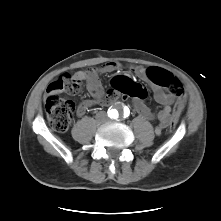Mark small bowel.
Wrapping results in <instances>:
<instances>
[{
	"label": "small bowel",
	"instance_id": "1",
	"mask_svg": "<svg viewBox=\"0 0 221 221\" xmlns=\"http://www.w3.org/2000/svg\"><path fill=\"white\" fill-rule=\"evenodd\" d=\"M121 65L117 62H108L102 67L94 68L87 71H78L73 75V81L75 83L85 82L87 90L91 95V99H86L82 101L77 108V114L79 116L84 115L89 108L95 104H109L113 102L119 93L124 96H128L124 92V88L134 82L128 75H118L115 76L111 81V87L106 91L100 81V75L111 73L119 70ZM151 68L136 67L134 72L144 81L151 84L155 100L163 105V108L157 113L156 117L159 120V125L155 127V133L160 134L162 130L168 126L176 124L181 113L186 106V96L182 94L181 96H175L171 93H167L163 88L156 83H154L149 75V70ZM161 69V68H157ZM164 70V69H161ZM166 71V70H164ZM168 72V71H167ZM133 102L136 110L140 115L146 119H152L154 117L150 108L147 106L145 101L138 97H133ZM174 109L177 108L178 112L176 115L173 113Z\"/></svg>",
	"mask_w": 221,
	"mask_h": 221
}]
</instances>
